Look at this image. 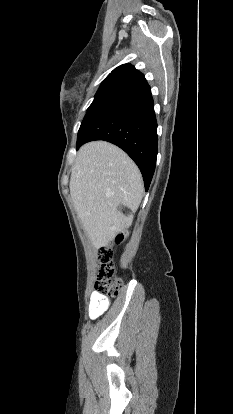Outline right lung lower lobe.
Returning <instances> with one entry per match:
<instances>
[{"label":"right lung lower lobe","mask_w":233,"mask_h":414,"mask_svg":"<svg viewBox=\"0 0 233 414\" xmlns=\"http://www.w3.org/2000/svg\"><path fill=\"white\" fill-rule=\"evenodd\" d=\"M93 140H105L123 149L139 167L148 190L157 158V121L144 77L87 112L78 132L77 149Z\"/></svg>","instance_id":"98d812e1"}]
</instances>
